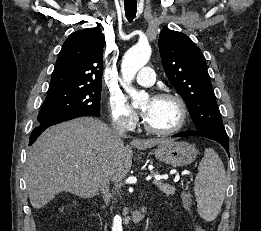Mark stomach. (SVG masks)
<instances>
[{"instance_id": "obj_1", "label": "stomach", "mask_w": 261, "mask_h": 231, "mask_svg": "<svg viewBox=\"0 0 261 231\" xmlns=\"http://www.w3.org/2000/svg\"><path fill=\"white\" fill-rule=\"evenodd\" d=\"M197 153L193 144L175 140L162 143L150 152L158 160L173 167L191 164L196 159Z\"/></svg>"}]
</instances>
